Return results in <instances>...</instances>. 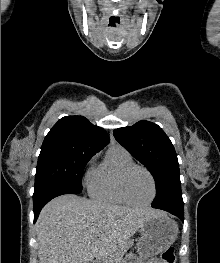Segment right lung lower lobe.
<instances>
[{"label": "right lung lower lobe", "instance_id": "obj_1", "mask_svg": "<svg viewBox=\"0 0 220 263\" xmlns=\"http://www.w3.org/2000/svg\"><path fill=\"white\" fill-rule=\"evenodd\" d=\"M80 191L66 189V188H48L43 190L35 195H33V204H34V223L36 222L41 209L46 203L51 199L63 195V194H78Z\"/></svg>", "mask_w": 220, "mask_h": 263}]
</instances>
